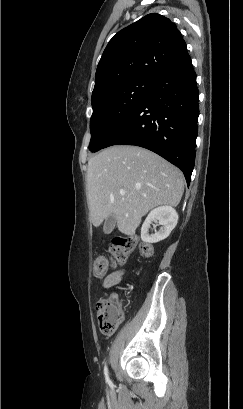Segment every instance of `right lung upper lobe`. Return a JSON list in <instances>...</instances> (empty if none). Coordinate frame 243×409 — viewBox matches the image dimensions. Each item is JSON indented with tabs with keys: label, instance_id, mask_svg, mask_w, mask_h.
I'll list each match as a JSON object with an SVG mask.
<instances>
[{
	"label": "right lung upper lobe",
	"instance_id": "right-lung-upper-lobe-1",
	"mask_svg": "<svg viewBox=\"0 0 243 409\" xmlns=\"http://www.w3.org/2000/svg\"><path fill=\"white\" fill-rule=\"evenodd\" d=\"M185 53L186 43L170 19L146 15L109 41L97 66L91 102L128 81L156 82Z\"/></svg>",
	"mask_w": 243,
	"mask_h": 409
}]
</instances>
